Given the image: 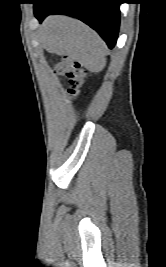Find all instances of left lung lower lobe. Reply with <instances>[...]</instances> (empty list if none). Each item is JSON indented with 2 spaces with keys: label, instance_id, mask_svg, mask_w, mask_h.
Wrapping results in <instances>:
<instances>
[{
  "label": "left lung lower lobe",
  "instance_id": "left-lung-lower-lobe-1",
  "mask_svg": "<svg viewBox=\"0 0 166 267\" xmlns=\"http://www.w3.org/2000/svg\"><path fill=\"white\" fill-rule=\"evenodd\" d=\"M32 3L40 22L50 14L71 15L96 30L110 49L115 46L122 0H33Z\"/></svg>",
  "mask_w": 166,
  "mask_h": 267
}]
</instances>
